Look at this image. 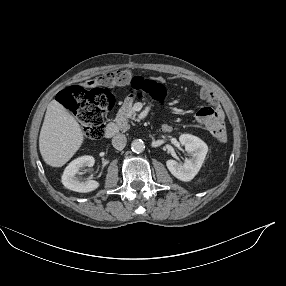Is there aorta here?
<instances>
[{
  "instance_id": "762f6f07",
  "label": "aorta",
  "mask_w": 286,
  "mask_h": 286,
  "mask_svg": "<svg viewBox=\"0 0 286 286\" xmlns=\"http://www.w3.org/2000/svg\"><path fill=\"white\" fill-rule=\"evenodd\" d=\"M131 149L135 153H141L145 149V144L141 139L133 140L131 143Z\"/></svg>"
}]
</instances>
